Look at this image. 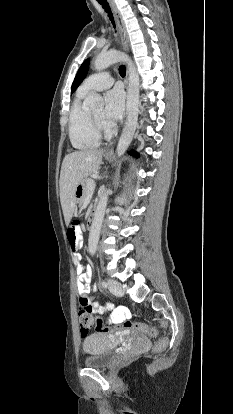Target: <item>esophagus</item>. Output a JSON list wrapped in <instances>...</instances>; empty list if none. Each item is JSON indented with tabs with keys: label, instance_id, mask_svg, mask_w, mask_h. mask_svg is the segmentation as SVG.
Masks as SVG:
<instances>
[{
	"label": "esophagus",
	"instance_id": "1",
	"mask_svg": "<svg viewBox=\"0 0 233 414\" xmlns=\"http://www.w3.org/2000/svg\"><path fill=\"white\" fill-rule=\"evenodd\" d=\"M111 6L113 9V12L115 14L117 23H118V27H119V31H120V35H121V40H122V47L123 50L126 53H129L130 51V47H129V39H128V34L125 28V24L123 21V18L121 16V13L119 12V10L116 8L115 4L113 2H111ZM128 82H129V71L127 69V73H126V77H125V87L126 90H128ZM114 146H115V142H112L105 150V154L111 155L114 152Z\"/></svg>",
	"mask_w": 233,
	"mask_h": 414
}]
</instances>
